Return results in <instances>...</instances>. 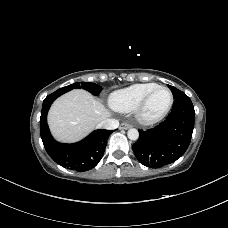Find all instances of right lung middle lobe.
<instances>
[{
  "label": "right lung middle lobe",
  "instance_id": "right-lung-middle-lobe-1",
  "mask_svg": "<svg viewBox=\"0 0 228 228\" xmlns=\"http://www.w3.org/2000/svg\"><path fill=\"white\" fill-rule=\"evenodd\" d=\"M78 88L85 89L95 96L99 95V93L102 91V87L95 84V83L81 82L79 84L78 82H76L74 84L68 85V86L63 87L61 89H58L56 92L63 94V93L68 92L72 89H78Z\"/></svg>",
  "mask_w": 228,
  "mask_h": 228
}]
</instances>
